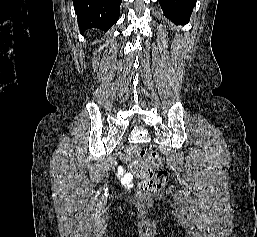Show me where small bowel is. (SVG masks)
Segmentation results:
<instances>
[{
	"label": "small bowel",
	"instance_id": "small-bowel-1",
	"mask_svg": "<svg viewBox=\"0 0 257 237\" xmlns=\"http://www.w3.org/2000/svg\"><path fill=\"white\" fill-rule=\"evenodd\" d=\"M127 161V159H125ZM117 174L122 178L125 182H131L132 176L126 172V170L123 167H119Z\"/></svg>",
	"mask_w": 257,
	"mask_h": 237
}]
</instances>
